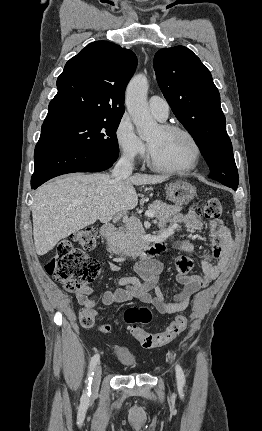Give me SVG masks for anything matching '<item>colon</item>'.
Masks as SVG:
<instances>
[{
    "instance_id": "1",
    "label": "colon",
    "mask_w": 262,
    "mask_h": 431,
    "mask_svg": "<svg viewBox=\"0 0 262 431\" xmlns=\"http://www.w3.org/2000/svg\"><path fill=\"white\" fill-rule=\"evenodd\" d=\"M204 215L210 220L218 219L223 211L221 201L217 197H210L204 207ZM96 229L87 227L74 233L70 239L64 240L57 248V252L45 264L46 272L57 282L63 285L68 292H77L86 288L99 274L100 266L95 259L84 254L74 244L83 249H94L96 243ZM152 318L147 307L129 308L124 313V321L131 334L145 348L162 346L179 336L187 326L185 315H178L164 331L149 333L143 330L139 324L148 323ZM80 323L83 327L90 328L96 324V319L89 312L80 313ZM103 332L109 330V326L100 324Z\"/></svg>"
}]
</instances>
